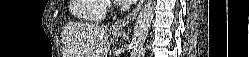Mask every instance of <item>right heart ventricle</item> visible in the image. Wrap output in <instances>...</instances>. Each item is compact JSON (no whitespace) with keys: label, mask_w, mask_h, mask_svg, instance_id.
<instances>
[{"label":"right heart ventricle","mask_w":249,"mask_h":57,"mask_svg":"<svg viewBox=\"0 0 249 57\" xmlns=\"http://www.w3.org/2000/svg\"><path fill=\"white\" fill-rule=\"evenodd\" d=\"M107 9L105 0H71L70 12L84 21H100Z\"/></svg>","instance_id":"obj_1"}]
</instances>
